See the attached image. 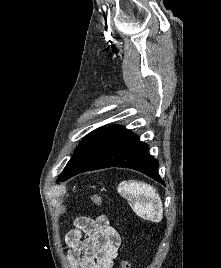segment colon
Here are the masks:
<instances>
[{
  "label": "colon",
  "instance_id": "obj_1",
  "mask_svg": "<svg viewBox=\"0 0 221 268\" xmlns=\"http://www.w3.org/2000/svg\"><path fill=\"white\" fill-rule=\"evenodd\" d=\"M90 200L95 206H99L102 203V197L99 195H92ZM120 268H132V263L128 259H122L120 262Z\"/></svg>",
  "mask_w": 221,
  "mask_h": 268
}]
</instances>
